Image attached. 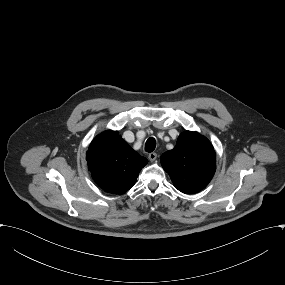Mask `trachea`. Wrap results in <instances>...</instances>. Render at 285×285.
I'll list each match as a JSON object with an SVG mask.
<instances>
[{
	"label": "trachea",
	"instance_id": "obj_1",
	"mask_svg": "<svg viewBox=\"0 0 285 285\" xmlns=\"http://www.w3.org/2000/svg\"><path fill=\"white\" fill-rule=\"evenodd\" d=\"M156 147V141L154 138H149L145 143V151L146 152H153Z\"/></svg>",
	"mask_w": 285,
	"mask_h": 285
}]
</instances>
